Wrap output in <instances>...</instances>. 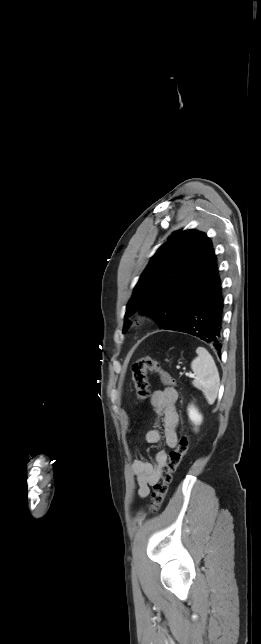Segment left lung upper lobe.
<instances>
[{"instance_id":"left-lung-upper-lobe-1","label":"left lung upper lobe","mask_w":261,"mask_h":644,"mask_svg":"<svg viewBox=\"0 0 261 644\" xmlns=\"http://www.w3.org/2000/svg\"><path fill=\"white\" fill-rule=\"evenodd\" d=\"M219 274L212 242L204 233L176 231L150 260L127 304L165 329L179 320ZM130 322L125 319L124 331Z\"/></svg>"}]
</instances>
